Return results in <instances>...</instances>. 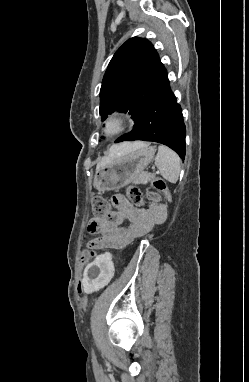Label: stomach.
I'll return each instance as SVG.
<instances>
[{
	"label": "stomach",
	"instance_id": "stomach-1",
	"mask_svg": "<svg viewBox=\"0 0 249 382\" xmlns=\"http://www.w3.org/2000/svg\"><path fill=\"white\" fill-rule=\"evenodd\" d=\"M155 152V147L144 144L115 157L111 163L96 171L94 187L99 191H108L130 184L153 161Z\"/></svg>",
	"mask_w": 249,
	"mask_h": 382
}]
</instances>
